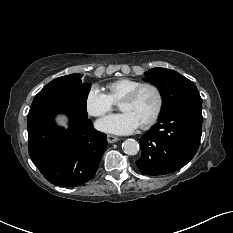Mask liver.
<instances>
[{
    "mask_svg": "<svg viewBox=\"0 0 233 233\" xmlns=\"http://www.w3.org/2000/svg\"><path fill=\"white\" fill-rule=\"evenodd\" d=\"M55 123L60 126L67 128L68 127V117L65 114H58L54 118Z\"/></svg>",
    "mask_w": 233,
    "mask_h": 233,
    "instance_id": "liver-1",
    "label": "liver"
}]
</instances>
